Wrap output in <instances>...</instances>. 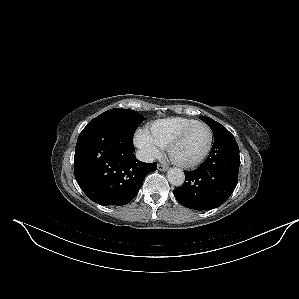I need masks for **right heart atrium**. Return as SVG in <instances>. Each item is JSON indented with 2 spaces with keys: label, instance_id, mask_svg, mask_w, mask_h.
<instances>
[{
  "label": "right heart atrium",
  "instance_id": "d8ad5b80",
  "mask_svg": "<svg viewBox=\"0 0 299 299\" xmlns=\"http://www.w3.org/2000/svg\"><path fill=\"white\" fill-rule=\"evenodd\" d=\"M134 144L146 158L157 157L162 147L157 144L146 131H138L134 136Z\"/></svg>",
  "mask_w": 299,
  "mask_h": 299
}]
</instances>
